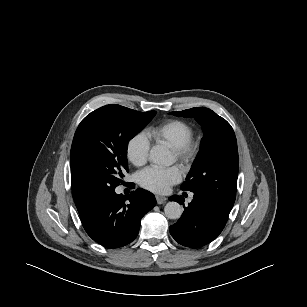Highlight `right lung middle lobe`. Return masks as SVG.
<instances>
[{
	"label": "right lung middle lobe",
	"mask_w": 307,
	"mask_h": 307,
	"mask_svg": "<svg viewBox=\"0 0 307 307\" xmlns=\"http://www.w3.org/2000/svg\"><path fill=\"white\" fill-rule=\"evenodd\" d=\"M156 113L106 105L81 121L70 154L72 193L78 210L115 191L128 172V142Z\"/></svg>",
	"instance_id": "dd1d6c3e"
}]
</instances>
